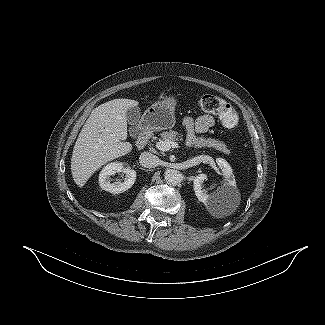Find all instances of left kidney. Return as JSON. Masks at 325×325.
I'll use <instances>...</instances> for the list:
<instances>
[{"mask_svg": "<svg viewBox=\"0 0 325 325\" xmlns=\"http://www.w3.org/2000/svg\"><path fill=\"white\" fill-rule=\"evenodd\" d=\"M216 163L224 176V183L221 187L217 188L216 192L207 194V192L202 189L203 182L207 178L206 174L197 175L193 181V188L198 200L206 206H211L213 203L219 202L226 193H237L236 181L231 166L222 158H217Z\"/></svg>", "mask_w": 325, "mask_h": 325, "instance_id": "obj_1", "label": "left kidney"}]
</instances>
